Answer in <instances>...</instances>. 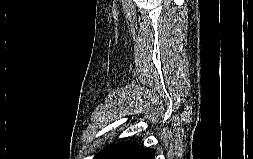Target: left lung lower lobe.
I'll return each instance as SVG.
<instances>
[{
	"mask_svg": "<svg viewBox=\"0 0 253 159\" xmlns=\"http://www.w3.org/2000/svg\"><path fill=\"white\" fill-rule=\"evenodd\" d=\"M155 151L143 148L136 142H121L108 145L94 159H154Z\"/></svg>",
	"mask_w": 253,
	"mask_h": 159,
	"instance_id": "left-lung-lower-lobe-1",
	"label": "left lung lower lobe"
}]
</instances>
